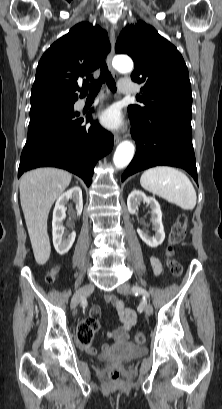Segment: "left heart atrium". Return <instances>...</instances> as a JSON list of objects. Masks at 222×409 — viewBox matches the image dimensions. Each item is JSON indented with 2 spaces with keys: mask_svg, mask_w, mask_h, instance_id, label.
Wrapping results in <instances>:
<instances>
[{
  "mask_svg": "<svg viewBox=\"0 0 222 409\" xmlns=\"http://www.w3.org/2000/svg\"><path fill=\"white\" fill-rule=\"evenodd\" d=\"M100 123L110 130H117L122 127V120L119 111L115 107L104 110L99 115Z\"/></svg>",
  "mask_w": 222,
  "mask_h": 409,
  "instance_id": "1",
  "label": "left heart atrium"
}]
</instances>
